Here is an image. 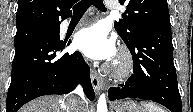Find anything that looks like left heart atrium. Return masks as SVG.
Here are the masks:
<instances>
[{"label":"left heart atrium","mask_w":193,"mask_h":112,"mask_svg":"<svg viewBox=\"0 0 193 112\" xmlns=\"http://www.w3.org/2000/svg\"><path fill=\"white\" fill-rule=\"evenodd\" d=\"M75 45L93 60H111L116 53L115 42L101 23L80 30L75 37Z\"/></svg>","instance_id":"obj_1"}]
</instances>
